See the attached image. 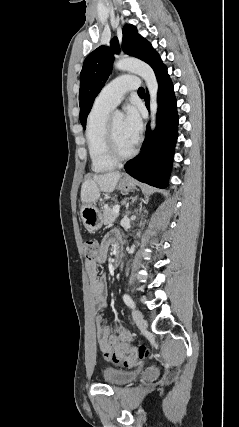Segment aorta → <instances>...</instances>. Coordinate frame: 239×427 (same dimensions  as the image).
<instances>
[{"label":"aorta","instance_id":"762f6f07","mask_svg":"<svg viewBox=\"0 0 239 427\" xmlns=\"http://www.w3.org/2000/svg\"><path fill=\"white\" fill-rule=\"evenodd\" d=\"M115 68H117L118 70L135 73L144 79L150 95V126L151 130H154L156 127V113L158 109V82L153 69L147 63L133 58H125L118 60L115 63ZM116 114L120 115V112L117 111Z\"/></svg>","mask_w":239,"mask_h":427}]
</instances>
